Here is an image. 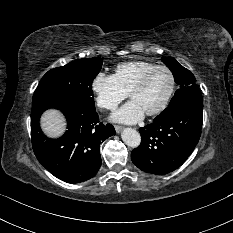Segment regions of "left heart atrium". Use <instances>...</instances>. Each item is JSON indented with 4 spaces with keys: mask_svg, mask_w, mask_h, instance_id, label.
I'll list each match as a JSON object with an SVG mask.
<instances>
[{
    "mask_svg": "<svg viewBox=\"0 0 233 233\" xmlns=\"http://www.w3.org/2000/svg\"><path fill=\"white\" fill-rule=\"evenodd\" d=\"M144 115L145 112L142 108L135 101L131 100L116 110L112 115V119L120 123L133 124L142 120Z\"/></svg>",
    "mask_w": 233,
    "mask_h": 233,
    "instance_id": "obj_1",
    "label": "left heart atrium"
}]
</instances>
